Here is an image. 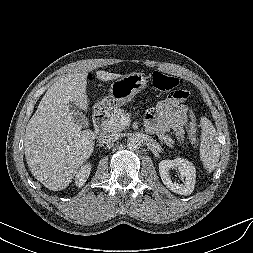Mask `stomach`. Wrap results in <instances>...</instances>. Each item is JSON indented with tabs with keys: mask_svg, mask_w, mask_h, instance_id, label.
Masks as SVG:
<instances>
[{
	"mask_svg": "<svg viewBox=\"0 0 253 253\" xmlns=\"http://www.w3.org/2000/svg\"><path fill=\"white\" fill-rule=\"evenodd\" d=\"M147 85L146 78L141 73H131L112 83L109 96L96 105L99 113L111 114L114 110L131 101L134 96Z\"/></svg>",
	"mask_w": 253,
	"mask_h": 253,
	"instance_id": "1",
	"label": "stomach"
}]
</instances>
